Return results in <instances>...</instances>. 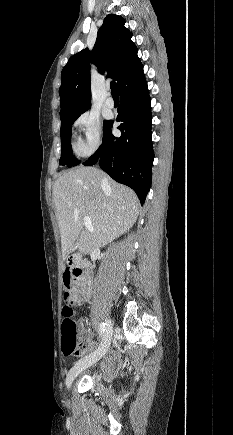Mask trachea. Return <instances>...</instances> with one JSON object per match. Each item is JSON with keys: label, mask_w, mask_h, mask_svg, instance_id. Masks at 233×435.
<instances>
[{"label": "trachea", "mask_w": 233, "mask_h": 435, "mask_svg": "<svg viewBox=\"0 0 233 435\" xmlns=\"http://www.w3.org/2000/svg\"><path fill=\"white\" fill-rule=\"evenodd\" d=\"M110 87H111V94L112 95H118L117 90H116V83H115V81H111Z\"/></svg>", "instance_id": "trachea-1"}]
</instances>
